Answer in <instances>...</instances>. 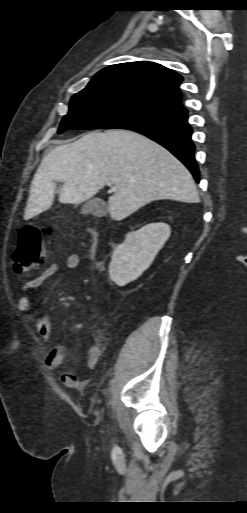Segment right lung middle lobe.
I'll use <instances>...</instances> for the list:
<instances>
[{"mask_svg":"<svg viewBox=\"0 0 247 513\" xmlns=\"http://www.w3.org/2000/svg\"><path fill=\"white\" fill-rule=\"evenodd\" d=\"M171 111L142 95L116 88H94L75 94L58 133L69 129H114Z\"/></svg>","mask_w":247,"mask_h":513,"instance_id":"1","label":"right lung middle lobe"}]
</instances>
